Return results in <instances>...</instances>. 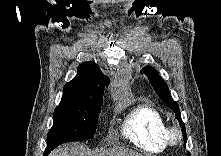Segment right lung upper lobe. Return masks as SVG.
I'll return each instance as SVG.
<instances>
[{
  "mask_svg": "<svg viewBox=\"0 0 221 156\" xmlns=\"http://www.w3.org/2000/svg\"><path fill=\"white\" fill-rule=\"evenodd\" d=\"M77 75L63 88L60 104L79 103L89 100H103L105 86L109 79L94 62H85L78 66Z\"/></svg>",
  "mask_w": 221,
  "mask_h": 156,
  "instance_id": "cb5924a9",
  "label": "right lung upper lobe"
}]
</instances>
